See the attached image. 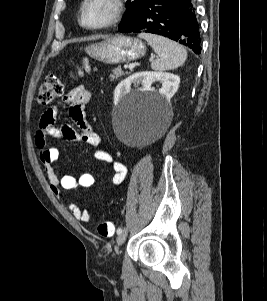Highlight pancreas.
I'll list each match as a JSON object with an SVG mask.
<instances>
[{"mask_svg": "<svg viewBox=\"0 0 267 301\" xmlns=\"http://www.w3.org/2000/svg\"><path fill=\"white\" fill-rule=\"evenodd\" d=\"M123 74H124V73H123L122 69H121L120 67H117V68H115V69L112 71V73H111V75H110L111 80L113 81L114 79H118V78L121 77Z\"/></svg>", "mask_w": 267, "mask_h": 301, "instance_id": "1", "label": "pancreas"}]
</instances>
